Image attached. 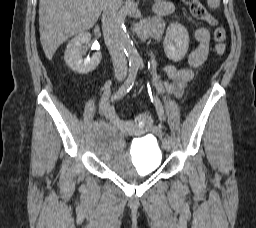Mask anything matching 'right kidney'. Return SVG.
Returning <instances> with one entry per match:
<instances>
[{"label":"right kidney","instance_id":"ca27d5eb","mask_svg":"<svg viewBox=\"0 0 256 228\" xmlns=\"http://www.w3.org/2000/svg\"><path fill=\"white\" fill-rule=\"evenodd\" d=\"M90 40V33L82 32L72 38L66 47L64 60L73 71L79 74H87L95 70L102 59L101 52H96L90 59H83L82 45L89 43Z\"/></svg>","mask_w":256,"mask_h":228}]
</instances>
